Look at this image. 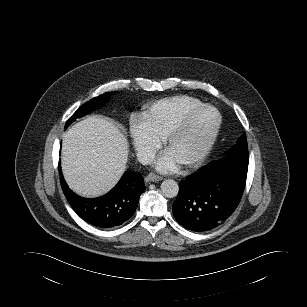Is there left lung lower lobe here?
<instances>
[{"label": "left lung lower lobe", "instance_id": "0a47b994", "mask_svg": "<svg viewBox=\"0 0 307 307\" xmlns=\"http://www.w3.org/2000/svg\"><path fill=\"white\" fill-rule=\"evenodd\" d=\"M248 162L217 160L179 183L173 214L184 228L205 232L221 225L238 206Z\"/></svg>", "mask_w": 307, "mask_h": 307}]
</instances>
